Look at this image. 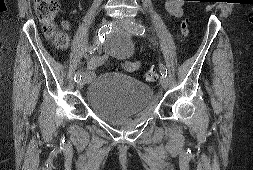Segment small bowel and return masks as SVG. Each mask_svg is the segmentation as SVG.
I'll return each mask as SVG.
<instances>
[{
	"label": "small bowel",
	"instance_id": "c3829d8e",
	"mask_svg": "<svg viewBox=\"0 0 253 170\" xmlns=\"http://www.w3.org/2000/svg\"><path fill=\"white\" fill-rule=\"evenodd\" d=\"M185 0H166L165 10L168 16L172 18H180L183 15V3ZM65 29H69V24L67 22L63 23ZM122 45H127V41H124ZM108 55H95L91 57L87 62L88 72L90 73V78L93 76V71L101 64H103ZM125 70L133 72L139 69V62L132 60H123L122 63Z\"/></svg>",
	"mask_w": 253,
	"mask_h": 170
}]
</instances>
